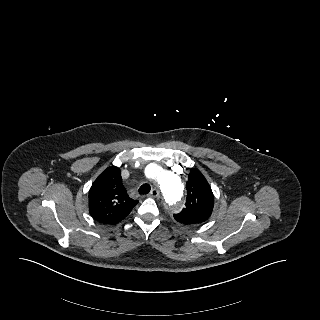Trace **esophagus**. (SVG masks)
<instances>
[{"instance_id": "34e87169", "label": "esophagus", "mask_w": 320, "mask_h": 320, "mask_svg": "<svg viewBox=\"0 0 320 320\" xmlns=\"http://www.w3.org/2000/svg\"><path fill=\"white\" fill-rule=\"evenodd\" d=\"M159 194H160V191L158 189L154 188L151 190V192L149 193L148 196L155 198V197H158Z\"/></svg>"}]
</instances>
